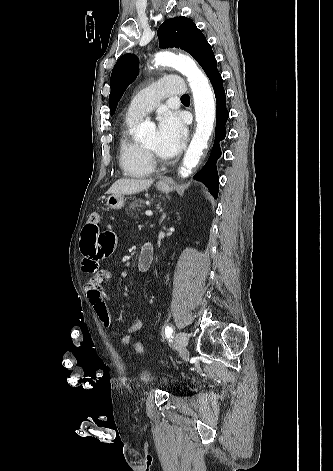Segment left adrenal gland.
<instances>
[{"mask_svg":"<svg viewBox=\"0 0 333 471\" xmlns=\"http://www.w3.org/2000/svg\"><path fill=\"white\" fill-rule=\"evenodd\" d=\"M160 212H162V216H161V220H160V224L163 222V220L166 218V214L164 213V211L161 209Z\"/></svg>","mask_w":333,"mask_h":471,"instance_id":"left-adrenal-gland-1","label":"left adrenal gland"}]
</instances>
